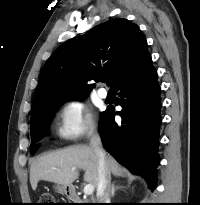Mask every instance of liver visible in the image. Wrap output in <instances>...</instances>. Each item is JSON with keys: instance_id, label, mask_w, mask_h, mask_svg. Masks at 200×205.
<instances>
[{"instance_id": "6515ba94", "label": "liver", "mask_w": 200, "mask_h": 205, "mask_svg": "<svg viewBox=\"0 0 200 205\" xmlns=\"http://www.w3.org/2000/svg\"><path fill=\"white\" fill-rule=\"evenodd\" d=\"M109 171L120 176L122 169L110 155H106ZM75 169V170H72ZM79 169L85 171L84 181L98 185V158L89 146L78 145L36 158L30 166V183L37 188L40 180L70 186L79 176Z\"/></svg>"}]
</instances>
